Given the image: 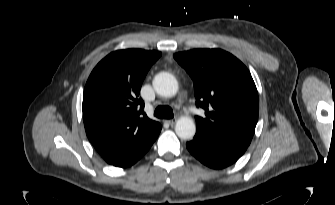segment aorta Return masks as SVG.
<instances>
[{"label": "aorta", "mask_w": 335, "mask_h": 205, "mask_svg": "<svg viewBox=\"0 0 335 205\" xmlns=\"http://www.w3.org/2000/svg\"><path fill=\"white\" fill-rule=\"evenodd\" d=\"M153 87L156 93L163 97H173L178 92V82L176 78L168 72H160L157 74L153 80ZM175 132L181 139H192L196 132L194 121L188 116L180 117L176 121Z\"/></svg>", "instance_id": "762f6f07"}]
</instances>
